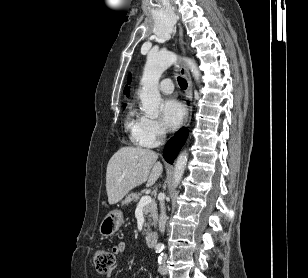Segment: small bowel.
<instances>
[{"label": "small bowel", "instance_id": "c3829d8e", "mask_svg": "<svg viewBox=\"0 0 308 278\" xmlns=\"http://www.w3.org/2000/svg\"><path fill=\"white\" fill-rule=\"evenodd\" d=\"M125 249H126V243L122 241L116 244L115 246H113L111 251L113 252L114 255H119L123 253Z\"/></svg>", "mask_w": 308, "mask_h": 278}]
</instances>
